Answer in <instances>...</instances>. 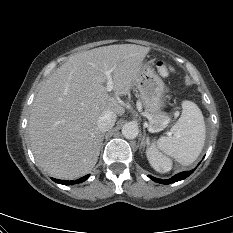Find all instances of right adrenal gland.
Masks as SVG:
<instances>
[{
  "mask_svg": "<svg viewBox=\"0 0 233 233\" xmlns=\"http://www.w3.org/2000/svg\"><path fill=\"white\" fill-rule=\"evenodd\" d=\"M104 135H105V134L103 133V134H102V142H103V139H104ZM101 144H102V143H101Z\"/></svg>",
  "mask_w": 233,
  "mask_h": 233,
  "instance_id": "2a0ac1e0",
  "label": "right adrenal gland"
}]
</instances>
